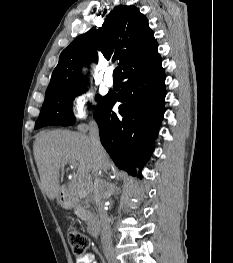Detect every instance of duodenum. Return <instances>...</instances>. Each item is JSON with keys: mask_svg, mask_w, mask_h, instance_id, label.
Here are the masks:
<instances>
[{"mask_svg": "<svg viewBox=\"0 0 233 263\" xmlns=\"http://www.w3.org/2000/svg\"><path fill=\"white\" fill-rule=\"evenodd\" d=\"M60 200L65 203V205L69 208L74 207V203L69 199L67 193H66V188L65 186L61 187V193H60ZM89 232L90 235L93 238H98L99 236V226L95 221H91L89 225Z\"/></svg>", "mask_w": 233, "mask_h": 263, "instance_id": "1", "label": "duodenum"}]
</instances>
